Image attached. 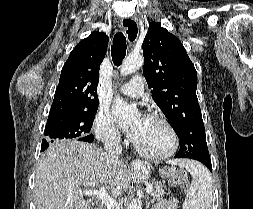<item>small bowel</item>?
Masks as SVG:
<instances>
[{
	"mask_svg": "<svg viewBox=\"0 0 253 209\" xmlns=\"http://www.w3.org/2000/svg\"><path fill=\"white\" fill-rule=\"evenodd\" d=\"M156 209H178V201L174 197L162 201L156 207Z\"/></svg>",
	"mask_w": 253,
	"mask_h": 209,
	"instance_id": "1",
	"label": "small bowel"
}]
</instances>
